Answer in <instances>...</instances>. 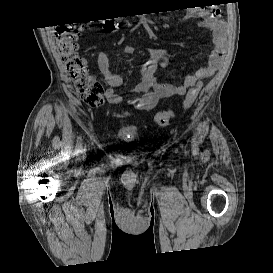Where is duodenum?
Here are the masks:
<instances>
[{"label": "duodenum", "instance_id": "obj_1", "mask_svg": "<svg viewBox=\"0 0 273 273\" xmlns=\"http://www.w3.org/2000/svg\"><path fill=\"white\" fill-rule=\"evenodd\" d=\"M105 28H106L107 31H114L116 29L113 22H107Z\"/></svg>", "mask_w": 273, "mask_h": 273}]
</instances>
